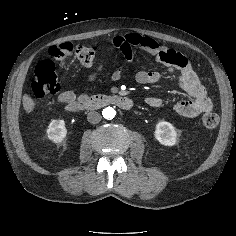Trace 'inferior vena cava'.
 Segmentation results:
<instances>
[{"mask_svg": "<svg viewBox=\"0 0 236 236\" xmlns=\"http://www.w3.org/2000/svg\"><path fill=\"white\" fill-rule=\"evenodd\" d=\"M87 119H88L89 123L97 124V123H99L101 121L102 116H101L100 113H98L96 111H91V112L88 113Z\"/></svg>", "mask_w": 236, "mask_h": 236, "instance_id": "1", "label": "inferior vena cava"}]
</instances>
